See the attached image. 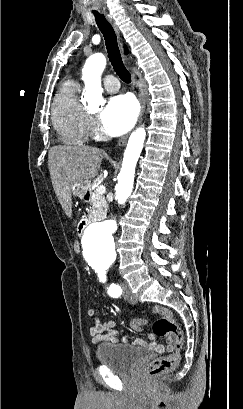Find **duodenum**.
<instances>
[{
    "mask_svg": "<svg viewBox=\"0 0 243 409\" xmlns=\"http://www.w3.org/2000/svg\"><path fill=\"white\" fill-rule=\"evenodd\" d=\"M89 223L90 221L87 219L81 221L79 224V232H82L88 226Z\"/></svg>",
    "mask_w": 243,
    "mask_h": 409,
    "instance_id": "1",
    "label": "duodenum"
}]
</instances>
